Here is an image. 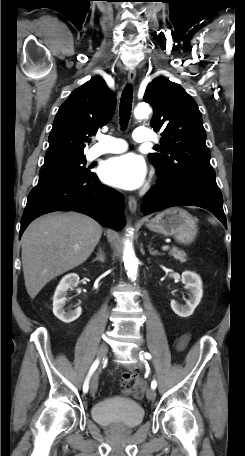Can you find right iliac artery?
<instances>
[{
	"mask_svg": "<svg viewBox=\"0 0 245 456\" xmlns=\"http://www.w3.org/2000/svg\"><path fill=\"white\" fill-rule=\"evenodd\" d=\"M99 365V360H95L94 363L92 364L91 368H90V371L86 377V380L84 382V385H83V391L86 393L89 389V380H90V377L91 375L93 374V372L97 369Z\"/></svg>",
	"mask_w": 245,
	"mask_h": 456,
	"instance_id": "obj_1",
	"label": "right iliac artery"
}]
</instances>
